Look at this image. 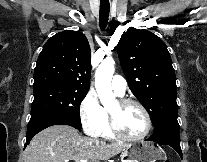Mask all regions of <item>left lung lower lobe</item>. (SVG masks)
<instances>
[{"mask_svg": "<svg viewBox=\"0 0 207 162\" xmlns=\"http://www.w3.org/2000/svg\"><path fill=\"white\" fill-rule=\"evenodd\" d=\"M180 127L177 118L164 120L155 126L153 135L147 141L158 142L159 144L169 145L175 149L182 158L180 147Z\"/></svg>", "mask_w": 207, "mask_h": 162, "instance_id": "obj_1", "label": "left lung lower lobe"}]
</instances>
